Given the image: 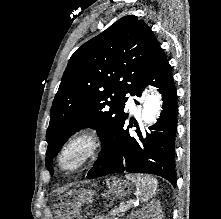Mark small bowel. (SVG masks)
Masks as SVG:
<instances>
[{
    "mask_svg": "<svg viewBox=\"0 0 221 219\" xmlns=\"http://www.w3.org/2000/svg\"><path fill=\"white\" fill-rule=\"evenodd\" d=\"M96 219H105V218H102V217H98V218H96Z\"/></svg>",
    "mask_w": 221,
    "mask_h": 219,
    "instance_id": "c3829d8e",
    "label": "small bowel"
}]
</instances>
